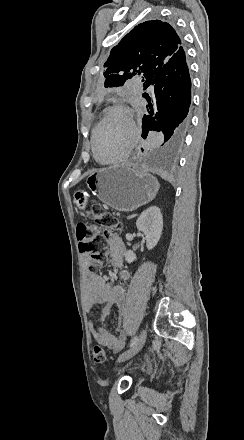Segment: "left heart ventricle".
I'll return each mask as SVG.
<instances>
[{
  "label": "left heart ventricle",
  "mask_w": 244,
  "mask_h": 440,
  "mask_svg": "<svg viewBox=\"0 0 244 440\" xmlns=\"http://www.w3.org/2000/svg\"><path fill=\"white\" fill-rule=\"evenodd\" d=\"M109 116L95 143L97 154L102 159L113 156L120 146L122 138L130 136L134 131L128 114L112 111Z\"/></svg>",
  "instance_id": "left-heart-ventricle-1"
}]
</instances>
